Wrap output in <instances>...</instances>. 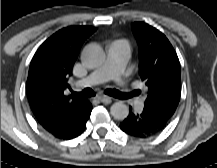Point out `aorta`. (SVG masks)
Returning <instances> with one entry per match:
<instances>
[{"instance_id": "762f6f07", "label": "aorta", "mask_w": 217, "mask_h": 168, "mask_svg": "<svg viewBox=\"0 0 217 168\" xmlns=\"http://www.w3.org/2000/svg\"><path fill=\"white\" fill-rule=\"evenodd\" d=\"M106 59L103 49L97 44L86 46L82 52V60L89 68L100 67ZM111 115L117 120H124L129 114V108L123 102H115L110 108Z\"/></svg>"}]
</instances>
